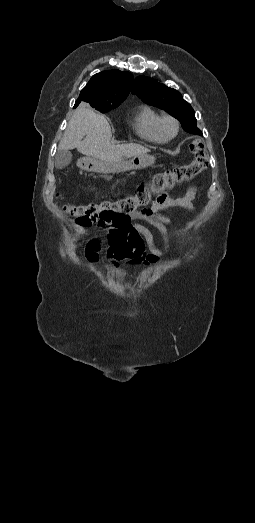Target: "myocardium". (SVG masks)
<instances>
[{"instance_id":"myocardium-1","label":"myocardium","mask_w":255,"mask_h":523,"mask_svg":"<svg viewBox=\"0 0 255 523\" xmlns=\"http://www.w3.org/2000/svg\"><path fill=\"white\" fill-rule=\"evenodd\" d=\"M159 127L165 139L174 138L180 130V124L178 119L170 114H166L161 117Z\"/></svg>"}]
</instances>
